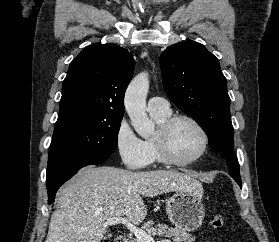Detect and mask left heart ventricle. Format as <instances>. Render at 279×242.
Wrapping results in <instances>:
<instances>
[{"label": "left heart ventricle", "mask_w": 279, "mask_h": 242, "mask_svg": "<svg viewBox=\"0 0 279 242\" xmlns=\"http://www.w3.org/2000/svg\"><path fill=\"white\" fill-rule=\"evenodd\" d=\"M202 140L198 130L187 121L177 122L169 134V148L174 157L187 160L198 153Z\"/></svg>", "instance_id": "1"}]
</instances>
